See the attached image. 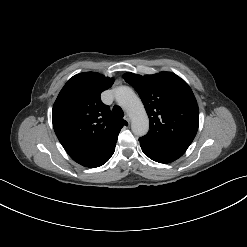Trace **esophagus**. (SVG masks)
<instances>
[{"mask_svg":"<svg viewBox=\"0 0 247 247\" xmlns=\"http://www.w3.org/2000/svg\"><path fill=\"white\" fill-rule=\"evenodd\" d=\"M124 119H125L128 123L131 122V119H130V117H129L128 115H125Z\"/></svg>","mask_w":247,"mask_h":247,"instance_id":"1","label":"esophagus"}]
</instances>
